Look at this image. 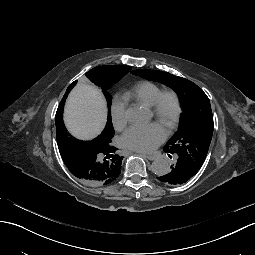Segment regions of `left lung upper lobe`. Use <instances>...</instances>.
Listing matches in <instances>:
<instances>
[{
  "mask_svg": "<svg viewBox=\"0 0 255 255\" xmlns=\"http://www.w3.org/2000/svg\"><path fill=\"white\" fill-rule=\"evenodd\" d=\"M131 73L172 88L179 96L183 114L176 134L163 151L201 168L211 143L214 123L207 95L193 82L158 70H133ZM172 167V166H171ZM165 176V175H164Z\"/></svg>",
  "mask_w": 255,
  "mask_h": 255,
  "instance_id": "5c2ea615",
  "label": "left lung upper lobe"
}]
</instances>
